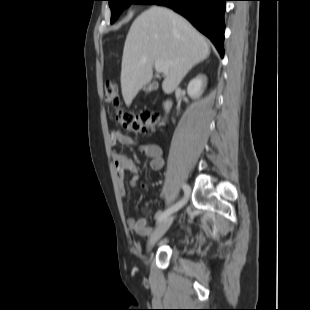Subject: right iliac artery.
<instances>
[{
  "instance_id": "82829eb1",
  "label": "right iliac artery",
  "mask_w": 310,
  "mask_h": 310,
  "mask_svg": "<svg viewBox=\"0 0 310 310\" xmlns=\"http://www.w3.org/2000/svg\"><path fill=\"white\" fill-rule=\"evenodd\" d=\"M183 191H184V197L178 201L175 205L165 210L157 219V224H160L166 217H168L171 213L179 210L182 208L185 203L187 202L188 196L190 194V187L187 184L182 185Z\"/></svg>"
}]
</instances>
